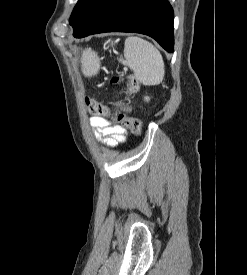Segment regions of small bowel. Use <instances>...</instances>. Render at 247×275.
<instances>
[{"label": "small bowel", "mask_w": 247, "mask_h": 275, "mask_svg": "<svg viewBox=\"0 0 247 275\" xmlns=\"http://www.w3.org/2000/svg\"><path fill=\"white\" fill-rule=\"evenodd\" d=\"M91 126L96 130L97 137L103 138L109 147H116L126 141V130L122 126L113 125L102 116L95 115L90 118Z\"/></svg>", "instance_id": "c3829d8e"}]
</instances>
